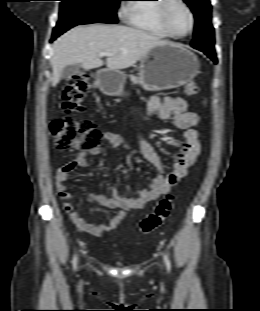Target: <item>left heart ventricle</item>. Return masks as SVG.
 <instances>
[{
  "instance_id": "left-heart-ventricle-1",
  "label": "left heart ventricle",
  "mask_w": 260,
  "mask_h": 311,
  "mask_svg": "<svg viewBox=\"0 0 260 311\" xmlns=\"http://www.w3.org/2000/svg\"><path fill=\"white\" fill-rule=\"evenodd\" d=\"M170 29L179 35L185 34L190 28V17L185 8L178 2H172L167 12Z\"/></svg>"
}]
</instances>
